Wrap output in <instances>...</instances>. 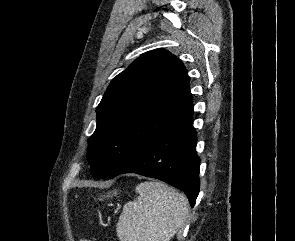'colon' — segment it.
Instances as JSON below:
<instances>
[{"instance_id":"colon-1","label":"colon","mask_w":295,"mask_h":241,"mask_svg":"<svg viewBox=\"0 0 295 241\" xmlns=\"http://www.w3.org/2000/svg\"><path fill=\"white\" fill-rule=\"evenodd\" d=\"M80 241H95V240H90V239H81Z\"/></svg>"}]
</instances>
